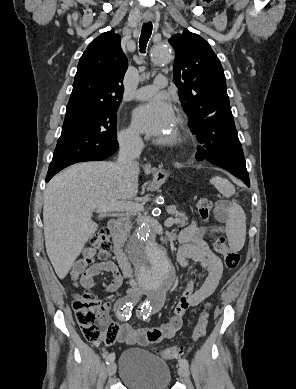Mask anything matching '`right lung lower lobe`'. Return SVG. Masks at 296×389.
<instances>
[{"mask_svg":"<svg viewBox=\"0 0 296 389\" xmlns=\"http://www.w3.org/2000/svg\"><path fill=\"white\" fill-rule=\"evenodd\" d=\"M116 151H117V149L115 151L109 152L107 157H109L110 155H112ZM62 169L63 168H49L48 173H47V177H46V182H48L56 173H58Z\"/></svg>","mask_w":296,"mask_h":389,"instance_id":"obj_1","label":"right lung lower lobe"}]
</instances>
